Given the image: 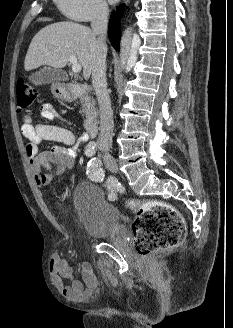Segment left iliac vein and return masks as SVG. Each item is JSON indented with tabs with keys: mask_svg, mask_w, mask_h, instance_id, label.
Masks as SVG:
<instances>
[{
	"mask_svg": "<svg viewBox=\"0 0 233 328\" xmlns=\"http://www.w3.org/2000/svg\"><path fill=\"white\" fill-rule=\"evenodd\" d=\"M104 162H105V165H106L107 169L110 172H112V173H117L118 172L117 162L111 154L105 153Z\"/></svg>",
	"mask_w": 233,
	"mask_h": 328,
	"instance_id": "obj_1",
	"label": "left iliac vein"
}]
</instances>
